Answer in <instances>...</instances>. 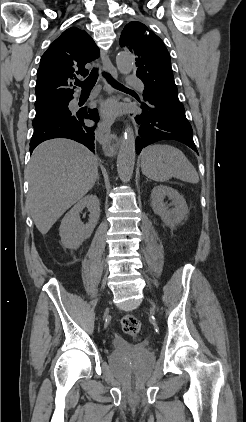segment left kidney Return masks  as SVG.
<instances>
[{"instance_id": "1", "label": "left kidney", "mask_w": 246, "mask_h": 422, "mask_svg": "<svg viewBox=\"0 0 246 422\" xmlns=\"http://www.w3.org/2000/svg\"><path fill=\"white\" fill-rule=\"evenodd\" d=\"M168 197L170 205L164 202ZM151 206L155 214L159 215L165 225L173 227L187 219L189 213L184 197L174 188L166 185L155 186L151 192Z\"/></svg>"}]
</instances>
